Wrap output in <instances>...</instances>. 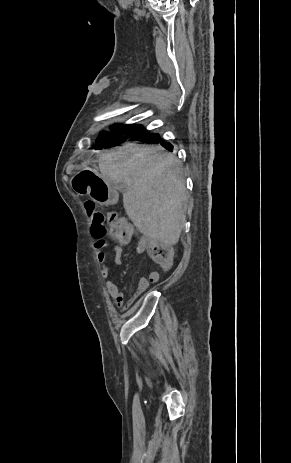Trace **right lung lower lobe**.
I'll return each instance as SVG.
<instances>
[{
	"mask_svg": "<svg viewBox=\"0 0 291 463\" xmlns=\"http://www.w3.org/2000/svg\"><path fill=\"white\" fill-rule=\"evenodd\" d=\"M142 142H146L148 144H153V143H160L164 148L168 149L169 151H172V146L169 144V143H165L160 137L159 135H156L155 137L151 138V139H148V140H144Z\"/></svg>",
	"mask_w": 291,
	"mask_h": 463,
	"instance_id": "98d812e1",
	"label": "right lung lower lobe"
}]
</instances>
